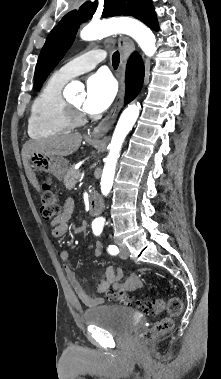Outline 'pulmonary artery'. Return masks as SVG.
Listing matches in <instances>:
<instances>
[{"label": "pulmonary artery", "instance_id": "obj_1", "mask_svg": "<svg viewBox=\"0 0 221 379\" xmlns=\"http://www.w3.org/2000/svg\"><path fill=\"white\" fill-rule=\"evenodd\" d=\"M106 57L103 50H91L63 65L56 71L60 77L69 80L94 69Z\"/></svg>", "mask_w": 221, "mask_h": 379}]
</instances>
